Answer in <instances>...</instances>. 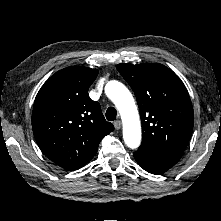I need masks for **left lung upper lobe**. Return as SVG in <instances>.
<instances>
[{"mask_svg":"<svg viewBox=\"0 0 221 221\" xmlns=\"http://www.w3.org/2000/svg\"><path fill=\"white\" fill-rule=\"evenodd\" d=\"M117 70L131 86L139 106V148L179 160L193 130V108L183 82L159 63H122Z\"/></svg>","mask_w":221,"mask_h":221,"instance_id":"1","label":"left lung upper lobe"}]
</instances>
